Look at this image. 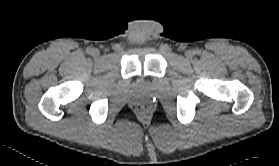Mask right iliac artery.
<instances>
[{
    "instance_id": "right-iliac-artery-1",
    "label": "right iliac artery",
    "mask_w": 279,
    "mask_h": 166,
    "mask_svg": "<svg viewBox=\"0 0 279 166\" xmlns=\"http://www.w3.org/2000/svg\"><path fill=\"white\" fill-rule=\"evenodd\" d=\"M92 48L91 47H89V48H87V50H86V52L88 53V54H91L92 53Z\"/></svg>"
}]
</instances>
